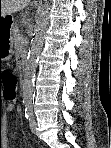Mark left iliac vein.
<instances>
[{
  "mask_svg": "<svg viewBox=\"0 0 111 148\" xmlns=\"http://www.w3.org/2000/svg\"><path fill=\"white\" fill-rule=\"evenodd\" d=\"M36 125H37L36 120L34 117H32L29 123L30 129L32 132L36 131Z\"/></svg>",
  "mask_w": 111,
  "mask_h": 148,
  "instance_id": "obj_1",
  "label": "left iliac vein"
}]
</instances>
